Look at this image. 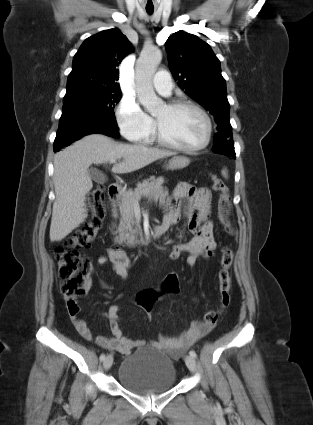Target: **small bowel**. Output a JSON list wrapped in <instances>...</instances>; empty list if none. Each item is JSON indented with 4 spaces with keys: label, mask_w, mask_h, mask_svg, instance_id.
Wrapping results in <instances>:
<instances>
[{
    "label": "small bowel",
    "mask_w": 313,
    "mask_h": 425,
    "mask_svg": "<svg viewBox=\"0 0 313 425\" xmlns=\"http://www.w3.org/2000/svg\"><path fill=\"white\" fill-rule=\"evenodd\" d=\"M182 200L186 201L185 215L188 220V228L193 237L187 242L173 245L169 257L172 260H177L186 252L189 254L187 264L192 267L206 249L215 248L213 224L209 220L211 192L207 188L197 189L186 182L178 183L173 193L170 210L161 224L165 231L180 221L182 217ZM97 263L100 265L109 263L113 271L123 279L128 276L130 263L122 250L110 248L107 255H101L97 258ZM67 310L77 332L86 340H95V343L102 348L127 355L135 347L145 344L142 340H133L123 335L118 317L119 307L116 305L111 306L105 313L112 332L110 337L100 335L94 338L88 324L78 315L80 310L78 305H76L75 309H72L67 303ZM211 328L204 322L199 321L178 337L160 335L158 339L151 341L150 344L157 348H165L172 356L178 357L184 350L204 337Z\"/></svg>",
    "instance_id": "small-bowel-1"
}]
</instances>
